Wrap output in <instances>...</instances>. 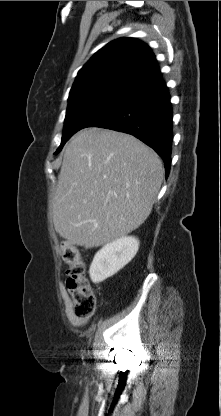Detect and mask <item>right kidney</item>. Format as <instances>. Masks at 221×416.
Instances as JSON below:
<instances>
[{
    "label": "right kidney",
    "mask_w": 221,
    "mask_h": 416,
    "mask_svg": "<svg viewBox=\"0 0 221 416\" xmlns=\"http://www.w3.org/2000/svg\"><path fill=\"white\" fill-rule=\"evenodd\" d=\"M139 240L135 237H121L102 247L94 256L89 269L93 283H99L113 276L136 255Z\"/></svg>",
    "instance_id": "1"
}]
</instances>
